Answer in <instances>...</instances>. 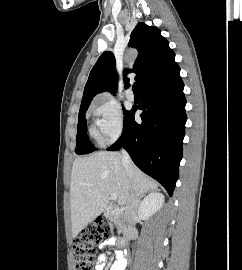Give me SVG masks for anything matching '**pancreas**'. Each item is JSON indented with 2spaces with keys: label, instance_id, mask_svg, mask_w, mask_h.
<instances>
[{
  "label": "pancreas",
  "instance_id": "pancreas-1",
  "mask_svg": "<svg viewBox=\"0 0 242 270\" xmlns=\"http://www.w3.org/2000/svg\"><path fill=\"white\" fill-rule=\"evenodd\" d=\"M110 220L118 227L119 232H124V223L115 216H111Z\"/></svg>",
  "mask_w": 242,
  "mask_h": 270
}]
</instances>
